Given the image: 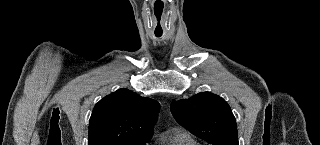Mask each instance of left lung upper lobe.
Masks as SVG:
<instances>
[{
	"mask_svg": "<svg viewBox=\"0 0 320 145\" xmlns=\"http://www.w3.org/2000/svg\"><path fill=\"white\" fill-rule=\"evenodd\" d=\"M176 121L212 145H238L237 125L227 102L203 92L171 104Z\"/></svg>",
	"mask_w": 320,
	"mask_h": 145,
	"instance_id": "obj_1",
	"label": "left lung upper lobe"
}]
</instances>
